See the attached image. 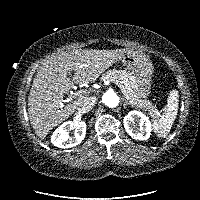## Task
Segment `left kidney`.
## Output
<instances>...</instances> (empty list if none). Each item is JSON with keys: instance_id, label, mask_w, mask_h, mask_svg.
Returning <instances> with one entry per match:
<instances>
[{"instance_id": "5707ae66", "label": "left kidney", "mask_w": 200, "mask_h": 200, "mask_svg": "<svg viewBox=\"0 0 200 200\" xmlns=\"http://www.w3.org/2000/svg\"><path fill=\"white\" fill-rule=\"evenodd\" d=\"M126 132L136 140H147L152 131V124L140 111H130L123 119Z\"/></svg>"}]
</instances>
